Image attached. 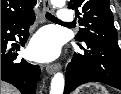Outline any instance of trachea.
<instances>
[{
    "instance_id": "trachea-1",
    "label": "trachea",
    "mask_w": 121,
    "mask_h": 94,
    "mask_svg": "<svg viewBox=\"0 0 121 94\" xmlns=\"http://www.w3.org/2000/svg\"><path fill=\"white\" fill-rule=\"evenodd\" d=\"M46 18L50 21H54V22H62L60 21L57 17H55L54 15L50 14V13H46Z\"/></svg>"
}]
</instances>
